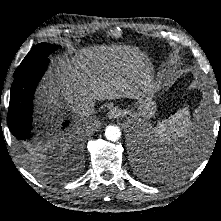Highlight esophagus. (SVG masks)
<instances>
[{"label":"esophagus","instance_id":"34e87169","mask_svg":"<svg viewBox=\"0 0 221 221\" xmlns=\"http://www.w3.org/2000/svg\"><path fill=\"white\" fill-rule=\"evenodd\" d=\"M121 115V110L119 108H111L108 112V118L109 119H116L119 118Z\"/></svg>","mask_w":221,"mask_h":221}]
</instances>
